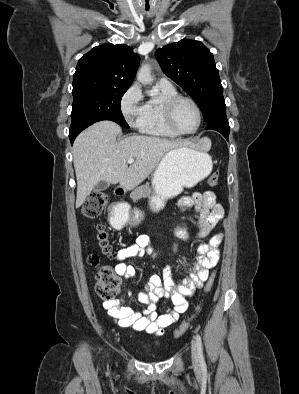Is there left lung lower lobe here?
<instances>
[{
  "mask_svg": "<svg viewBox=\"0 0 299 394\" xmlns=\"http://www.w3.org/2000/svg\"><path fill=\"white\" fill-rule=\"evenodd\" d=\"M206 129H212L220 132L227 140L229 136V123L226 122H216L209 124Z\"/></svg>",
  "mask_w": 299,
  "mask_h": 394,
  "instance_id": "0a47b994",
  "label": "left lung lower lobe"
}]
</instances>
